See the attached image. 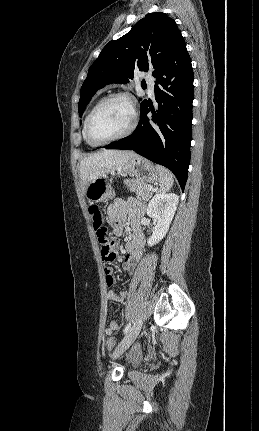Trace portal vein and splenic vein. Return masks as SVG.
<instances>
[{"label": "portal vein and splenic vein", "instance_id": "portal-vein-and-splenic-vein-1", "mask_svg": "<svg viewBox=\"0 0 259 431\" xmlns=\"http://www.w3.org/2000/svg\"><path fill=\"white\" fill-rule=\"evenodd\" d=\"M148 190H149V191H152V190H153V187H152V186H148Z\"/></svg>", "mask_w": 259, "mask_h": 431}]
</instances>
